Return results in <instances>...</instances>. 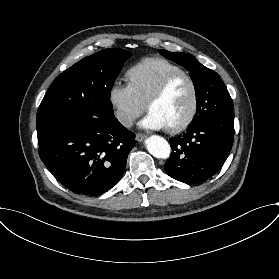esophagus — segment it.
Segmentation results:
<instances>
[{
    "mask_svg": "<svg viewBox=\"0 0 279 279\" xmlns=\"http://www.w3.org/2000/svg\"><path fill=\"white\" fill-rule=\"evenodd\" d=\"M144 139H146V136H145V135H143V134H137V135H136V140H137L138 142H142V141H144Z\"/></svg>",
    "mask_w": 279,
    "mask_h": 279,
    "instance_id": "obj_1",
    "label": "esophagus"
}]
</instances>
